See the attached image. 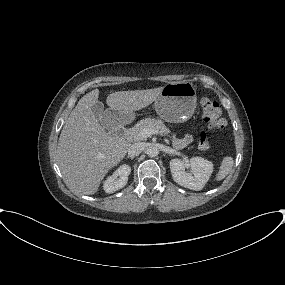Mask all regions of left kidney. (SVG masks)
Masks as SVG:
<instances>
[{
  "label": "left kidney",
  "mask_w": 285,
  "mask_h": 285,
  "mask_svg": "<svg viewBox=\"0 0 285 285\" xmlns=\"http://www.w3.org/2000/svg\"><path fill=\"white\" fill-rule=\"evenodd\" d=\"M191 169V173L185 171ZM173 180L188 189L199 191L203 189L213 172V163L202 157H193L189 162L175 158L170 161Z\"/></svg>",
  "instance_id": "5707ae66"
}]
</instances>
